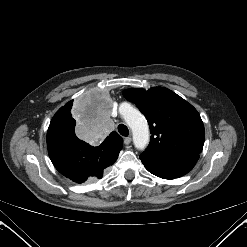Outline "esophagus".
I'll return each mask as SVG.
<instances>
[{
  "mask_svg": "<svg viewBox=\"0 0 247 247\" xmlns=\"http://www.w3.org/2000/svg\"><path fill=\"white\" fill-rule=\"evenodd\" d=\"M131 141H132V138L131 137H125L124 138V144L125 145H129L131 143Z\"/></svg>",
  "mask_w": 247,
  "mask_h": 247,
  "instance_id": "obj_1",
  "label": "esophagus"
}]
</instances>
